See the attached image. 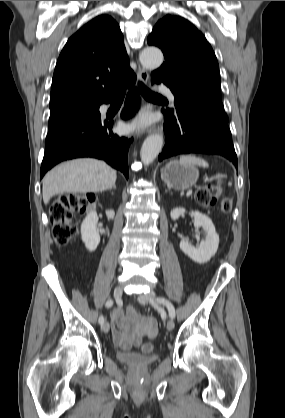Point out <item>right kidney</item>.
I'll return each instance as SVG.
<instances>
[{
	"label": "right kidney",
	"mask_w": 285,
	"mask_h": 418,
	"mask_svg": "<svg viewBox=\"0 0 285 418\" xmlns=\"http://www.w3.org/2000/svg\"><path fill=\"white\" fill-rule=\"evenodd\" d=\"M98 216L96 211H91L81 224V237L85 247L93 252L100 243V236L97 230Z\"/></svg>",
	"instance_id": "obj_1"
}]
</instances>
